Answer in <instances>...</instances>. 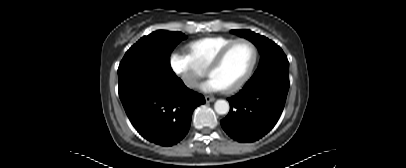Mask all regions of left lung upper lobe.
<instances>
[{
  "mask_svg": "<svg viewBox=\"0 0 406 168\" xmlns=\"http://www.w3.org/2000/svg\"><path fill=\"white\" fill-rule=\"evenodd\" d=\"M231 32L250 40L260 52V63L251 79L262 76L289 78V62L277 44L250 30H232Z\"/></svg>",
  "mask_w": 406,
  "mask_h": 168,
  "instance_id": "left-lung-upper-lobe-1",
  "label": "left lung upper lobe"
}]
</instances>
